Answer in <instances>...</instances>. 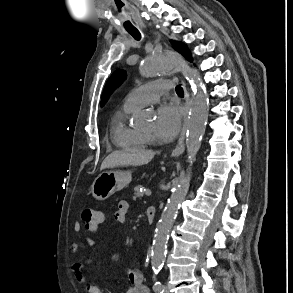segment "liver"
<instances>
[{"label": "liver", "instance_id": "obj_1", "mask_svg": "<svg viewBox=\"0 0 293 293\" xmlns=\"http://www.w3.org/2000/svg\"><path fill=\"white\" fill-rule=\"evenodd\" d=\"M155 153L151 150L138 152L115 151L108 155L101 164V170L106 168H115L119 166H141L149 163Z\"/></svg>", "mask_w": 293, "mask_h": 293}]
</instances>
